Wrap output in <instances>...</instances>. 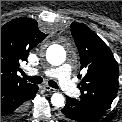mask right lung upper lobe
<instances>
[{"mask_svg": "<svg viewBox=\"0 0 122 122\" xmlns=\"http://www.w3.org/2000/svg\"><path fill=\"white\" fill-rule=\"evenodd\" d=\"M46 36L30 18H17L1 27V88L32 85L18 76L17 71L20 63L27 60L29 51Z\"/></svg>", "mask_w": 122, "mask_h": 122, "instance_id": "1", "label": "right lung upper lobe"}]
</instances>
